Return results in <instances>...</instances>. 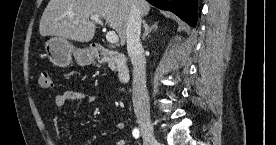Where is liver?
Returning <instances> with one entry per match:
<instances>
[{
	"label": "liver",
	"mask_w": 276,
	"mask_h": 145,
	"mask_svg": "<svg viewBox=\"0 0 276 145\" xmlns=\"http://www.w3.org/2000/svg\"><path fill=\"white\" fill-rule=\"evenodd\" d=\"M136 4L141 16L148 15L150 4L147 1L136 0ZM129 14V0H50L42 14L39 32L41 36L89 42L96 30V24L90 18L94 15L104 18L124 45Z\"/></svg>",
	"instance_id": "1"
}]
</instances>
